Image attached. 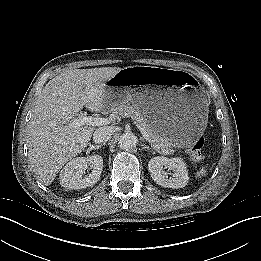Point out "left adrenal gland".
<instances>
[{"instance_id": "1", "label": "left adrenal gland", "mask_w": 261, "mask_h": 261, "mask_svg": "<svg viewBox=\"0 0 261 261\" xmlns=\"http://www.w3.org/2000/svg\"><path fill=\"white\" fill-rule=\"evenodd\" d=\"M141 146H142V149L150 151V147L145 145L144 143H142Z\"/></svg>"}]
</instances>
